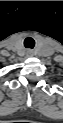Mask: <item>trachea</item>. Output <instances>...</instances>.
Masks as SVG:
<instances>
[{
  "mask_svg": "<svg viewBox=\"0 0 63 123\" xmlns=\"http://www.w3.org/2000/svg\"><path fill=\"white\" fill-rule=\"evenodd\" d=\"M24 46L29 49H33L35 46V40L32 37H26L24 39Z\"/></svg>",
  "mask_w": 63,
  "mask_h": 123,
  "instance_id": "obj_1",
  "label": "trachea"
}]
</instances>
